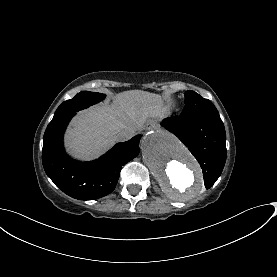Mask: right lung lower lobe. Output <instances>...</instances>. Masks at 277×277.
Returning <instances> with one entry per match:
<instances>
[{
  "label": "right lung lower lobe",
  "instance_id": "1",
  "mask_svg": "<svg viewBox=\"0 0 277 277\" xmlns=\"http://www.w3.org/2000/svg\"><path fill=\"white\" fill-rule=\"evenodd\" d=\"M74 113L51 121L43 138L42 163L48 177L67 195L92 200L111 193L123 165L139 153L140 135L118 143L99 159L79 162L66 155L63 134Z\"/></svg>",
  "mask_w": 277,
  "mask_h": 277
}]
</instances>
